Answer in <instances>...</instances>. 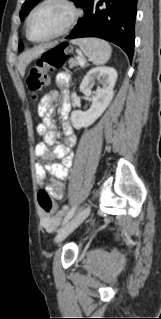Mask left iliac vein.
<instances>
[{
  "instance_id": "obj_1",
  "label": "left iliac vein",
  "mask_w": 161,
  "mask_h": 319,
  "mask_svg": "<svg viewBox=\"0 0 161 319\" xmlns=\"http://www.w3.org/2000/svg\"><path fill=\"white\" fill-rule=\"evenodd\" d=\"M90 207H86L72 218L56 235L55 241H63L72 231H74L89 215Z\"/></svg>"
}]
</instances>
